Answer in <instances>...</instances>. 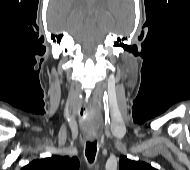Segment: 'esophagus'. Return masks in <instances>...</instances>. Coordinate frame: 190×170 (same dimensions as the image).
<instances>
[{
  "instance_id": "esophagus-1",
  "label": "esophagus",
  "mask_w": 190,
  "mask_h": 170,
  "mask_svg": "<svg viewBox=\"0 0 190 170\" xmlns=\"http://www.w3.org/2000/svg\"><path fill=\"white\" fill-rule=\"evenodd\" d=\"M87 138H88L90 141H93V140L95 139V136L89 135Z\"/></svg>"
}]
</instances>
